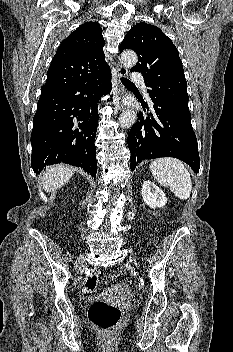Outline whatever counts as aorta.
<instances>
[{"label": "aorta", "instance_id": "762f6f07", "mask_svg": "<svg viewBox=\"0 0 233 352\" xmlns=\"http://www.w3.org/2000/svg\"><path fill=\"white\" fill-rule=\"evenodd\" d=\"M137 55L133 51H124L121 54L120 61L125 67H133L137 63ZM137 119V113L134 110H126L119 117V124L122 128L131 127Z\"/></svg>", "mask_w": 233, "mask_h": 352}]
</instances>
